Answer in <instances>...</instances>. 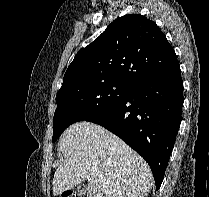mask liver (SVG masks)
I'll use <instances>...</instances> for the list:
<instances>
[{
	"instance_id": "1",
	"label": "liver",
	"mask_w": 209,
	"mask_h": 197,
	"mask_svg": "<svg viewBox=\"0 0 209 197\" xmlns=\"http://www.w3.org/2000/svg\"><path fill=\"white\" fill-rule=\"evenodd\" d=\"M53 195L88 180L87 197H145L152 186L149 165L123 140L104 127L82 121L62 134ZM95 169V170H94Z\"/></svg>"
}]
</instances>
